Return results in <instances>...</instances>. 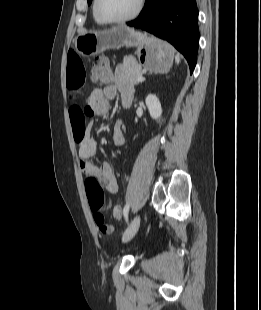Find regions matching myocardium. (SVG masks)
Returning a JSON list of instances; mask_svg holds the SVG:
<instances>
[{"label": "myocardium", "mask_w": 261, "mask_h": 310, "mask_svg": "<svg viewBox=\"0 0 261 310\" xmlns=\"http://www.w3.org/2000/svg\"><path fill=\"white\" fill-rule=\"evenodd\" d=\"M145 0H137L135 9L129 15L122 18H107L99 10V0L93 1V10L95 15L105 24H121L134 20L141 13Z\"/></svg>", "instance_id": "myocardium-1"}]
</instances>
